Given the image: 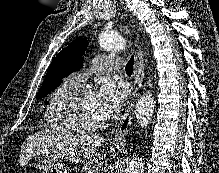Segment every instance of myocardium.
<instances>
[{
  "mask_svg": "<svg viewBox=\"0 0 219 173\" xmlns=\"http://www.w3.org/2000/svg\"><path fill=\"white\" fill-rule=\"evenodd\" d=\"M90 94H94L90 88H82L77 91L68 101L66 111L70 122L80 131L94 132L102 129L106 121L99 123H91L84 119L81 113V104L83 100Z\"/></svg>",
  "mask_w": 219,
  "mask_h": 173,
  "instance_id": "f54148a6",
  "label": "myocardium"
}]
</instances>
